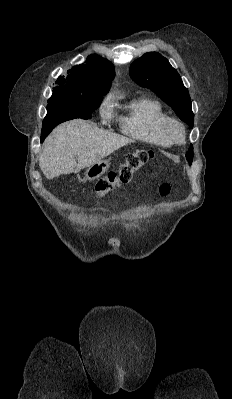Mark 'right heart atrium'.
<instances>
[{
  "label": "right heart atrium",
  "instance_id": "right-heart-atrium-1",
  "mask_svg": "<svg viewBox=\"0 0 232 399\" xmlns=\"http://www.w3.org/2000/svg\"><path fill=\"white\" fill-rule=\"evenodd\" d=\"M99 115L101 122L106 125L114 118L115 113L111 105L104 103L99 107Z\"/></svg>",
  "mask_w": 232,
  "mask_h": 399
}]
</instances>
